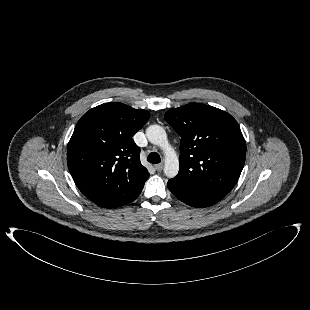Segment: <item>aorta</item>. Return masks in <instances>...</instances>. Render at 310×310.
I'll use <instances>...</instances> for the list:
<instances>
[{
  "label": "aorta",
  "instance_id": "762f6f07",
  "mask_svg": "<svg viewBox=\"0 0 310 310\" xmlns=\"http://www.w3.org/2000/svg\"><path fill=\"white\" fill-rule=\"evenodd\" d=\"M146 136L152 144L159 146L163 150L165 155L164 174L169 178L175 177L179 171V160L175 150L168 142L164 128L156 124L150 125L146 129Z\"/></svg>",
  "mask_w": 310,
  "mask_h": 310
}]
</instances>
